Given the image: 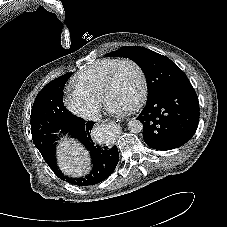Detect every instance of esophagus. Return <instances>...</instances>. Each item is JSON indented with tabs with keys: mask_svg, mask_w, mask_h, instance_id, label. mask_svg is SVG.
<instances>
[{
	"mask_svg": "<svg viewBox=\"0 0 227 227\" xmlns=\"http://www.w3.org/2000/svg\"><path fill=\"white\" fill-rule=\"evenodd\" d=\"M110 124H111L112 126H115L116 128H120V125L117 124V123L114 122V121L110 122Z\"/></svg>",
	"mask_w": 227,
	"mask_h": 227,
	"instance_id": "obj_1",
	"label": "esophagus"
}]
</instances>
